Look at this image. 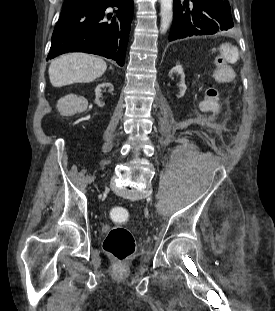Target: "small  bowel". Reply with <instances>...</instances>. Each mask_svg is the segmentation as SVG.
Returning <instances> with one entry per match:
<instances>
[{"mask_svg": "<svg viewBox=\"0 0 275 311\" xmlns=\"http://www.w3.org/2000/svg\"><path fill=\"white\" fill-rule=\"evenodd\" d=\"M219 56H214L212 62L213 73L207 74V80H202L201 91L202 101L198 102L200 112H204L205 116H219L223 107L220 103V87H226V82L234 79L233 62H240V50L237 46L225 44L219 46Z\"/></svg>", "mask_w": 275, "mask_h": 311, "instance_id": "1", "label": "small bowel"}]
</instances>
